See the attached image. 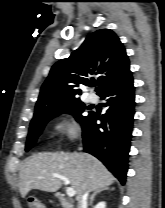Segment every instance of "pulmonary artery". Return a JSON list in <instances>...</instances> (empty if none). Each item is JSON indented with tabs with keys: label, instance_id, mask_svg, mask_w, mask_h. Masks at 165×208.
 <instances>
[{
	"label": "pulmonary artery",
	"instance_id": "pulmonary-artery-1",
	"mask_svg": "<svg viewBox=\"0 0 165 208\" xmlns=\"http://www.w3.org/2000/svg\"><path fill=\"white\" fill-rule=\"evenodd\" d=\"M87 100H88L90 103H96V102H97V96L94 95V94H90V95H88Z\"/></svg>",
	"mask_w": 165,
	"mask_h": 208
}]
</instances>
